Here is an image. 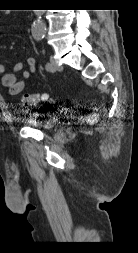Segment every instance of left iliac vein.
Here are the masks:
<instances>
[{
	"label": "left iliac vein",
	"mask_w": 138,
	"mask_h": 253,
	"mask_svg": "<svg viewBox=\"0 0 138 253\" xmlns=\"http://www.w3.org/2000/svg\"><path fill=\"white\" fill-rule=\"evenodd\" d=\"M50 64L52 66V69H51L52 71H59V70H61V66H59L56 63V61H55V59L53 57L50 58Z\"/></svg>",
	"instance_id": "left-iliac-vein-1"
}]
</instances>
